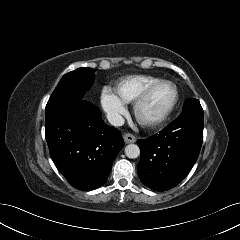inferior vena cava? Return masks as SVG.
<instances>
[{
  "mask_svg": "<svg viewBox=\"0 0 240 240\" xmlns=\"http://www.w3.org/2000/svg\"><path fill=\"white\" fill-rule=\"evenodd\" d=\"M107 120L112 126H122L124 124V118L117 112L108 113Z\"/></svg>",
  "mask_w": 240,
  "mask_h": 240,
  "instance_id": "inferior-vena-cava-1",
  "label": "inferior vena cava"
}]
</instances>
